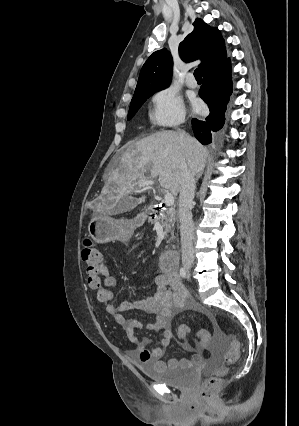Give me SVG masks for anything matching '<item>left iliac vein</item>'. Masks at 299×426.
Segmentation results:
<instances>
[{
    "label": "left iliac vein",
    "mask_w": 299,
    "mask_h": 426,
    "mask_svg": "<svg viewBox=\"0 0 299 426\" xmlns=\"http://www.w3.org/2000/svg\"><path fill=\"white\" fill-rule=\"evenodd\" d=\"M187 278H188V279L190 278V275H189V274H188Z\"/></svg>",
    "instance_id": "1"
}]
</instances>
